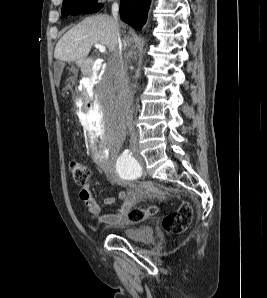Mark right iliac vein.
Segmentation results:
<instances>
[{
	"label": "right iliac vein",
	"instance_id": "63e3f726",
	"mask_svg": "<svg viewBox=\"0 0 267 298\" xmlns=\"http://www.w3.org/2000/svg\"><path fill=\"white\" fill-rule=\"evenodd\" d=\"M131 150H132L133 152H137V151H138V147H137V145H136V144H133V145L131 146Z\"/></svg>",
	"mask_w": 267,
	"mask_h": 298
}]
</instances>
